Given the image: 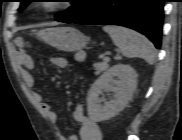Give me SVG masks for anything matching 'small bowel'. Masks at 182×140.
Instances as JSON below:
<instances>
[{"label":"small bowel","mask_w":182,"mask_h":140,"mask_svg":"<svg viewBox=\"0 0 182 140\" xmlns=\"http://www.w3.org/2000/svg\"><path fill=\"white\" fill-rule=\"evenodd\" d=\"M23 42L19 41V45ZM16 61L22 70L23 79L28 87H33L35 80L30 70L35 67L34 59L28 55L23 49H18L16 52ZM51 64L58 68H65L68 65V60L65 57H54L50 59ZM34 100L39 104L41 112L49 122L55 123L57 115L52 109L49 102L43 101L42 95L39 92L33 93ZM73 118L78 125V135H72L68 140H102V134L99 125L93 119L85 114L82 104H77L73 111Z\"/></svg>","instance_id":"obj_1"}]
</instances>
